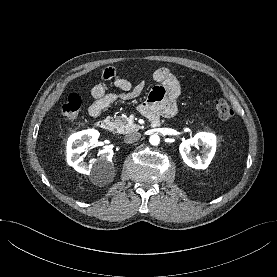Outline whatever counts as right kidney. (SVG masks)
Here are the masks:
<instances>
[{
	"label": "right kidney",
	"mask_w": 277,
	"mask_h": 277,
	"mask_svg": "<svg viewBox=\"0 0 277 277\" xmlns=\"http://www.w3.org/2000/svg\"><path fill=\"white\" fill-rule=\"evenodd\" d=\"M99 132L94 129L83 130L72 134L67 142V163L76 171L89 174L92 168V163L87 164L83 160V156H79L82 152L92 146L98 139ZM113 150L104 149L100 151V158L97 162L109 163L112 162Z\"/></svg>",
	"instance_id": "obj_1"
}]
</instances>
